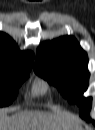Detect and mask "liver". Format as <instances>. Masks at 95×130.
I'll use <instances>...</instances> for the list:
<instances>
[{"mask_svg": "<svg viewBox=\"0 0 95 130\" xmlns=\"http://www.w3.org/2000/svg\"><path fill=\"white\" fill-rule=\"evenodd\" d=\"M74 124L71 119L62 115L25 110L11 116L2 115L0 130H81Z\"/></svg>", "mask_w": 95, "mask_h": 130, "instance_id": "1", "label": "liver"}]
</instances>
